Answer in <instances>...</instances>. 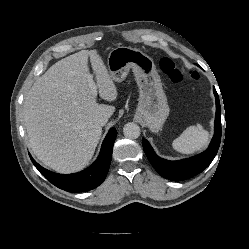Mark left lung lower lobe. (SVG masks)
<instances>
[{
    "label": "left lung lower lobe",
    "mask_w": 249,
    "mask_h": 249,
    "mask_svg": "<svg viewBox=\"0 0 249 249\" xmlns=\"http://www.w3.org/2000/svg\"><path fill=\"white\" fill-rule=\"evenodd\" d=\"M216 99V115L213 139L204 152L188 159L169 161L160 158L153 151L149 142L142 139L145 154L156 171L163 177L172 181H182L191 178L207 168L217 154L221 141V109L218 94L213 89Z\"/></svg>",
    "instance_id": "1"
}]
</instances>
